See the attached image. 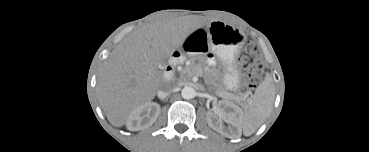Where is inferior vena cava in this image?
Returning <instances> with one entry per match:
<instances>
[{"instance_id": "obj_1", "label": "inferior vena cava", "mask_w": 369, "mask_h": 152, "mask_svg": "<svg viewBox=\"0 0 369 152\" xmlns=\"http://www.w3.org/2000/svg\"><path fill=\"white\" fill-rule=\"evenodd\" d=\"M176 87L177 84L175 82H172L170 80L164 81L159 90L160 98H165L168 94L172 93L176 89Z\"/></svg>"}]
</instances>
